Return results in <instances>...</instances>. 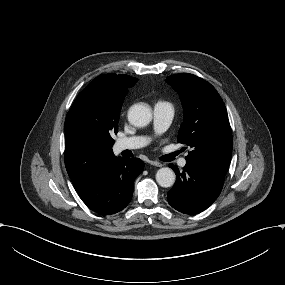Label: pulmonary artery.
<instances>
[{
	"instance_id": "obj_1",
	"label": "pulmonary artery",
	"mask_w": 285,
	"mask_h": 285,
	"mask_svg": "<svg viewBox=\"0 0 285 285\" xmlns=\"http://www.w3.org/2000/svg\"><path fill=\"white\" fill-rule=\"evenodd\" d=\"M154 114L156 120L155 132L158 135H163L172 124L175 118L173 107L169 102H158L154 107ZM146 144V140L142 137H129L118 139L113 147L114 153L118 154L124 150H132L140 148ZM187 160L185 157L179 160V166L185 168Z\"/></svg>"
}]
</instances>
